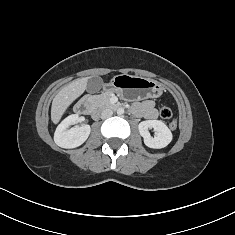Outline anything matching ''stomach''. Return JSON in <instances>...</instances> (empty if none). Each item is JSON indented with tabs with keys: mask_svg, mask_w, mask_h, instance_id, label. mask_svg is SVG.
<instances>
[{
	"mask_svg": "<svg viewBox=\"0 0 235 235\" xmlns=\"http://www.w3.org/2000/svg\"><path fill=\"white\" fill-rule=\"evenodd\" d=\"M106 90L117 93L125 100L134 101L158 98L162 95L163 87L149 78L120 74L106 85Z\"/></svg>",
	"mask_w": 235,
	"mask_h": 235,
	"instance_id": "obj_1",
	"label": "stomach"
}]
</instances>
